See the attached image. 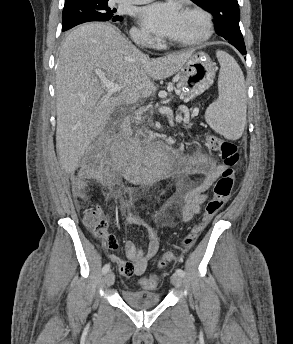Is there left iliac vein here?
Here are the masks:
<instances>
[{
    "label": "left iliac vein",
    "instance_id": "left-iliac-vein-1",
    "mask_svg": "<svg viewBox=\"0 0 293 344\" xmlns=\"http://www.w3.org/2000/svg\"><path fill=\"white\" fill-rule=\"evenodd\" d=\"M171 283L176 287V288H181L182 286V278L181 276L177 274H173L171 276Z\"/></svg>",
    "mask_w": 293,
    "mask_h": 344
}]
</instances>
